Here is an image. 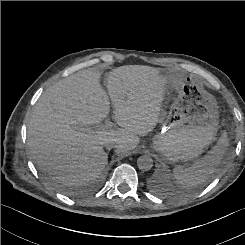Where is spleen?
Wrapping results in <instances>:
<instances>
[{
    "mask_svg": "<svg viewBox=\"0 0 245 245\" xmlns=\"http://www.w3.org/2000/svg\"><path fill=\"white\" fill-rule=\"evenodd\" d=\"M229 145L227 133L223 132L216 145L204 157L195 161L192 166L177 165L173 169L176 182L192 188L205 182L216 171Z\"/></svg>",
    "mask_w": 245,
    "mask_h": 245,
    "instance_id": "spleen-1",
    "label": "spleen"
}]
</instances>
